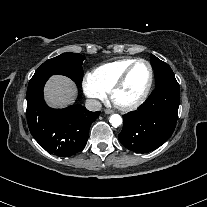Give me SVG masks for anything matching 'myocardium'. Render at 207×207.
I'll use <instances>...</instances> for the list:
<instances>
[{
	"instance_id": "myocardium-1",
	"label": "myocardium",
	"mask_w": 207,
	"mask_h": 207,
	"mask_svg": "<svg viewBox=\"0 0 207 207\" xmlns=\"http://www.w3.org/2000/svg\"><path fill=\"white\" fill-rule=\"evenodd\" d=\"M139 63H144L147 65L148 70H149V80L147 83V86L145 88V90L143 91V93L141 94V96L136 99L135 101L128 103V104H122L119 103L115 96L117 94V92L124 86L130 72L132 71V69ZM153 82H154V72H153V68L152 65L145 59H135L125 70L124 72L120 75V77L116 80V82L113 84L111 90H110V98L111 101L113 102V104L120 110L122 111H131L136 109L137 107H139L141 104L144 103V101L147 99L152 86H153Z\"/></svg>"
}]
</instances>
